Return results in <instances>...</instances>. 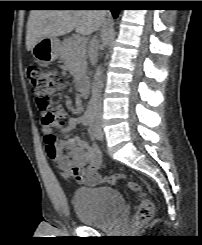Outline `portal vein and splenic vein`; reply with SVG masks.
Wrapping results in <instances>:
<instances>
[{"mask_svg": "<svg viewBox=\"0 0 202 245\" xmlns=\"http://www.w3.org/2000/svg\"><path fill=\"white\" fill-rule=\"evenodd\" d=\"M79 43H85L84 42V40L83 39H81V38H78V40H77Z\"/></svg>", "mask_w": 202, "mask_h": 245, "instance_id": "portal-vein-and-splenic-vein-1", "label": "portal vein and splenic vein"}]
</instances>
